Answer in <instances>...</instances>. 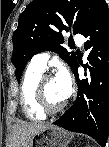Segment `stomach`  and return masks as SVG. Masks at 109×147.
Here are the masks:
<instances>
[{
    "instance_id": "0dacf381",
    "label": "stomach",
    "mask_w": 109,
    "mask_h": 147,
    "mask_svg": "<svg viewBox=\"0 0 109 147\" xmlns=\"http://www.w3.org/2000/svg\"><path fill=\"white\" fill-rule=\"evenodd\" d=\"M72 138L70 132L51 125L32 138L30 147H67Z\"/></svg>"
}]
</instances>
